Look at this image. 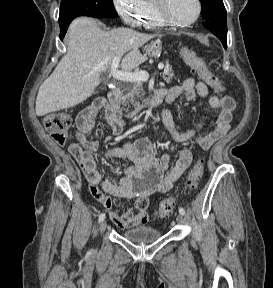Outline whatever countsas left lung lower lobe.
<instances>
[{
  "mask_svg": "<svg viewBox=\"0 0 273 288\" xmlns=\"http://www.w3.org/2000/svg\"><path fill=\"white\" fill-rule=\"evenodd\" d=\"M222 42L224 48H227V25H220L214 27H206Z\"/></svg>",
  "mask_w": 273,
  "mask_h": 288,
  "instance_id": "1",
  "label": "left lung lower lobe"
}]
</instances>
